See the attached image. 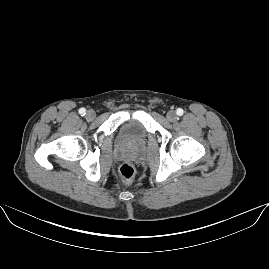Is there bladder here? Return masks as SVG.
Returning a JSON list of instances; mask_svg holds the SVG:
<instances>
[{"mask_svg":"<svg viewBox=\"0 0 269 269\" xmlns=\"http://www.w3.org/2000/svg\"><path fill=\"white\" fill-rule=\"evenodd\" d=\"M146 138L144 125L137 120H129L120 130V140L124 144L137 146Z\"/></svg>","mask_w":269,"mask_h":269,"instance_id":"1","label":"bladder"}]
</instances>
